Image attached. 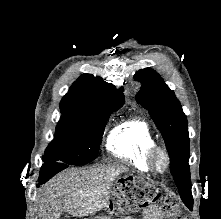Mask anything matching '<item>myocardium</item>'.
<instances>
[{
	"mask_svg": "<svg viewBox=\"0 0 221 219\" xmlns=\"http://www.w3.org/2000/svg\"><path fill=\"white\" fill-rule=\"evenodd\" d=\"M159 157L163 161L162 168H159L157 165V159ZM146 160L150 169L157 174L165 173L170 167V156L167 150L164 147L157 145V144L151 146L148 149L147 154H146Z\"/></svg>",
	"mask_w": 221,
	"mask_h": 219,
	"instance_id": "f54148a6",
	"label": "myocardium"
}]
</instances>
